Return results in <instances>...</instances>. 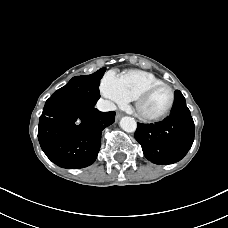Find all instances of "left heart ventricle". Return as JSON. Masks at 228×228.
I'll use <instances>...</instances> for the list:
<instances>
[{
    "label": "left heart ventricle",
    "mask_w": 228,
    "mask_h": 228,
    "mask_svg": "<svg viewBox=\"0 0 228 228\" xmlns=\"http://www.w3.org/2000/svg\"><path fill=\"white\" fill-rule=\"evenodd\" d=\"M170 99L171 94L168 88H156L141 102L140 111L148 116L158 115L167 108Z\"/></svg>",
    "instance_id": "b2bd125f"
}]
</instances>
